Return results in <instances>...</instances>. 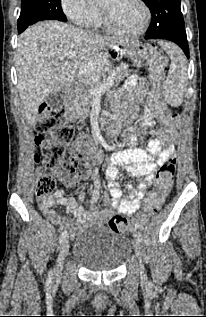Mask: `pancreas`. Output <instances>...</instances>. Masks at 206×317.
Wrapping results in <instances>:
<instances>
[{"label": "pancreas", "instance_id": "1", "mask_svg": "<svg viewBox=\"0 0 206 317\" xmlns=\"http://www.w3.org/2000/svg\"><path fill=\"white\" fill-rule=\"evenodd\" d=\"M119 65L120 67H116L109 71V74L111 71H114V86H118L124 78L130 75V70L127 68L128 64L126 61H121ZM95 73L96 76H98L97 72ZM84 76L89 77L91 75ZM107 79L108 78L105 77L104 80H100L99 77V82H94L93 85L87 84L86 86H82L81 89L75 93L71 102V106L73 108V114L77 118L85 119L89 115L92 105V96L90 95V92H96V89H101L104 87V83L107 81Z\"/></svg>", "mask_w": 206, "mask_h": 317}]
</instances>
